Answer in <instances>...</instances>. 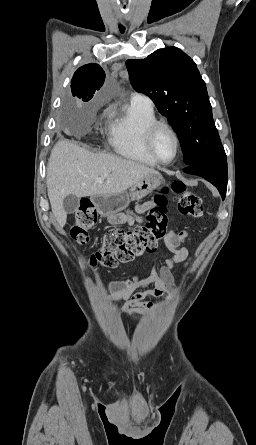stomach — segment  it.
<instances>
[{"instance_id": "1", "label": "stomach", "mask_w": 256, "mask_h": 445, "mask_svg": "<svg viewBox=\"0 0 256 445\" xmlns=\"http://www.w3.org/2000/svg\"><path fill=\"white\" fill-rule=\"evenodd\" d=\"M161 175H151L134 184L129 192L97 195L92 198L96 210L103 217H112L126 209L132 200H141L162 184Z\"/></svg>"}]
</instances>
